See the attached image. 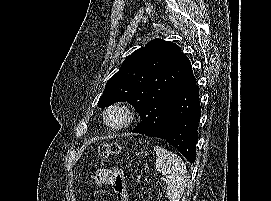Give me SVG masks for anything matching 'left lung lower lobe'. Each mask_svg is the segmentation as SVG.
Listing matches in <instances>:
<instances>
[{
    "label": "left lung lower lobe",
    "instance_id": "0a47b994",
    "mask_svg": "<svg viewBox=\"0 0 271 201\" xmlns=\"http://www.w3.org/2000/svg\"><path fill=\"white\" fill-rule=\"evenodd\" d=\"M200 114L198 86L188 59L184 79L168 107L163 129L157 137L166 140L191 163L196 159ZM132 132L143 134L144 128L138 124Z\"/></svg>",
    "mask_w": 271,
    "mask_h": 201
}]
</instances>
